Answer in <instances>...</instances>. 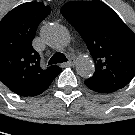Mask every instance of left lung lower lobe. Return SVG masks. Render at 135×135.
<instances>
[{"label":"left lung lower lobe","instance_id":"1","mask_svg":"<svg viewBox=\"0 0 135 135\" xmlns=\"http://www.w3.org/2000/svg\"><path fill=\"white\" fill-rule=\"evenodd\" d=\"M84 83L89 89H91V90H93V91H95L97 93H103V94L112 93V91L101 88L99 86H96V85H94V84H92V83H90L88 81H84Z\"/></svg>","mask_w":135,"mask_h":135}]
</instances>
